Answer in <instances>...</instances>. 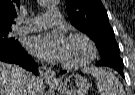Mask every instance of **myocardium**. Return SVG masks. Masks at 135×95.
Here are the masks:
<instances>
[{"instance_id": "f54148a6", "label": "myocardium", "mask_w": 135, "mask_h": 95, "mask_svg": "<svg viewBox=\"0 0 135 95\" xmlns=\"http://www.w3.org/2000/svg\"><path fill=\"white\" fill-rule=\"evenodd\" d=\"M68 39L69 40H73V39L82 40L88 48V55L86 58H84L83 60H81L79 62L62 61L63 67L68 68V69L80 68V67H83V66L89 64L96 58L97 47H96L95 43L93 42V40L88 35L83 34V33H73V34L69 35Z\"/></svg>"}]
</instances>
